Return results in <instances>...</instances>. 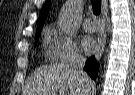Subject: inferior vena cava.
<instances>
[{"label": "inferior vena cava", "instance_id": "obj_1", "mask_svg": "<svg viewBox=\"0 0 135 95\" xmlns=\"http://www.w3.org/2000/svg\"><path fill=\"white\" fill-rule=\"evenodd\" d=\"M69 66L73 72L81 76L84 83H87L88 76L83 70L85 66V58L81 54L75 53L70 60Z\"/></svg>", "mask_w": 135, "mask_h": 95}]
</instances>
